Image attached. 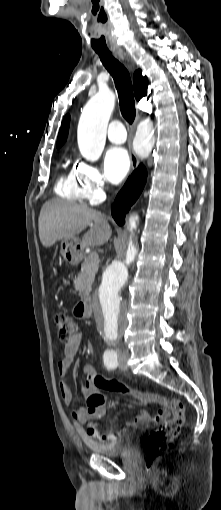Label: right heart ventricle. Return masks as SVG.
I'll return each instance as SVG.
<instances>
[{
    "label": "right heart ventricle",
    "mask_w": 221,
    "mask_h": 510,
    "mask_svg": "<svg viewBox=\"0 0 221 510\" xmlns=\"http://www.w3.org/2000/svg\"><path fill=\"white\" fill-rule=\"evenodd\" d=\"M55 192L61 198L75 202L81 199L76 179V169L64 170L55 185Z\"/></svg>",
    "instance_id": "obj_1"
}]
</instances>
